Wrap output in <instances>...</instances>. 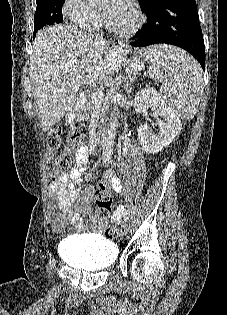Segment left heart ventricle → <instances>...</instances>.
<instances>
[{
	"mask_svg": "<svg viewBox=\"0 0 227 315\" xmlns=\"http://www.w3.org/2000/svg\"><path fill=\"white\" fill-rule=\"evenodd\" d=\"M109 6L110 2H107V4L104 6L106 12ZM107 17L113 26L121 30H127L131 28L135 21L134 14L131 9L118 13L114 16L107 15Z\"/></svg>",
	"mask_w": 227,
	"mask_h": 315,
	"instance_id": "1",
	"label": "left heart ventricle"
}]
</instances>
